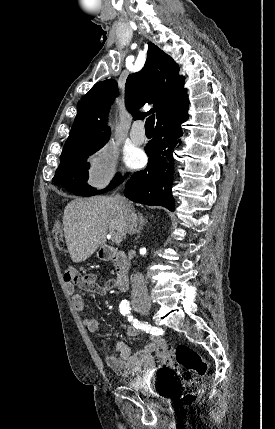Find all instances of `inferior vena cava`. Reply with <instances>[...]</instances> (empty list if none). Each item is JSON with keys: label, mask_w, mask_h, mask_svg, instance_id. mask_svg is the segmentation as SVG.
Here are the masks:
<instances>
[{"label": "inferior vena cava", "mask_w": 275, "mask_h": 429, "mask_svg": "<svg viewBox=\"0 0 275 429\" xmlns=\"http://www.w3.org/2000/svg\"><path fill=\"white\" fill-rule=\"evenodd\" d=\"M117 201L119 202L120 208L122 209L125 221H126V231L128 234H134L136 232L137 227V215L135 210L132 208L128 200L117 194L115 196ZM132 301L135 304L145 303L150 305V298L148 295V290L146 286V282L141 273H135L132 281Z\"/></svg>", "instance_id": "inferior-vena-cava-1"}]
</instances>
